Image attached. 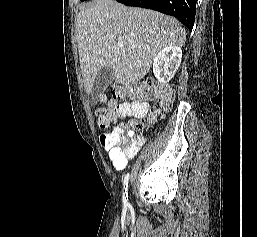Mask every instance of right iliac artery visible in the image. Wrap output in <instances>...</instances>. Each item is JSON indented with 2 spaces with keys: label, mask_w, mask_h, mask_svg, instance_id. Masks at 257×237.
Here are the masks:
<instances>
[{
  "label": "right iliac artery",
  "mask_w": 257,
  "mask_h": 237,
  "mask_svg": "<svg viewBox=\"0 0 257 237\" xmlns=\"http://www.w3.org/2000/svg\"><path fill=\"white\" fill-rule=\"evenodd\" d=\"M129 176L130 174L127 173L124 177V182H123V203L125 206L128 205V193H127V188H128V181H129Z\"/></svg>",
  "instance_id": "obj_1"
}]
</instances>
